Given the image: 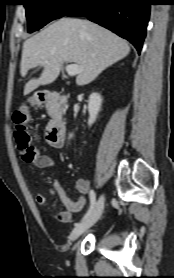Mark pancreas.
<instances>
[{"label":"pancreas","mask_w":174,"mask_h":278,"mask_svg":"<svg viewBox=\"0 0 174 278\" xmlns=\"http://www.w3.org/2000/svg\"><path fill=\"white\" fill-rule=\"evenodd\" d=\"M65 111V107H62L61 105H58L50 111V115H55V114H62Z\"/></svg>","instance_id":"cf45deb5"}]
</instances>
